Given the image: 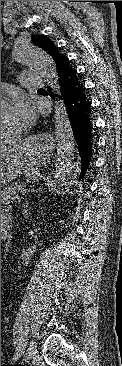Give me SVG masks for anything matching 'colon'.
Instances as JSON below:
<instances>
[{"label":"colon","instance_id":"1","mask_svg":"<svg viewBox=\"0 0 122 366\" xmlns=\"http://www.w3.org/2000/svg\"><path fill=\"white\" fill-rule=\"evenodd\" d=\"M6 227H7L6 225H4V224L1 223V234H2L3 231L6 230Z\"/></svg>","mask_w":122,"mask_h":366}]
</instances>
